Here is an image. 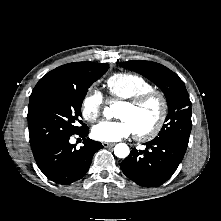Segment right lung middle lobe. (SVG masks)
<instances>
[{"label": "right lung middle lobe", "instance_id": "obj_1", "mask_svg": "<svg viewBox=\"0 0 221 221\" xmlns=\"http://www.w3.org/2000/svg\"><path fill=\"white\" fill-rule=\"evenodd\" d=\"M108 66V63L78 62L74 77L48 87L29 102L27 118L32 150L55 138L76 134L86 126L80 120L83 99Z\"/></svg>", "mask_w": 221, "mask_h": 221}]
</instances>
